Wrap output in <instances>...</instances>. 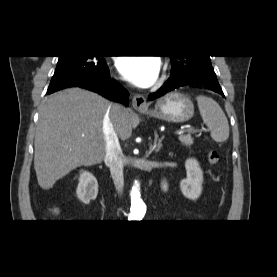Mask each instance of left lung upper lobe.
I'll list each match as a JSON object with an SVG mask.
<instances>
[{
    "label": "left lung upper lobe",
    "mask_w": 277,
    "mask_h": 277,
    "mask_svg": "<svg viewBox=\"0 0 277 277\" xmlns=\"http://www.w3.org/2000/svg\"><path fill=\"white\" fill-rule=\"evenodd\" d=\"M171 75L189 74L198 71H213L210 56H169Z\"/></svg>",
    "instance_id": "left-lung-upper-lobe-1"
}]
</instances>
